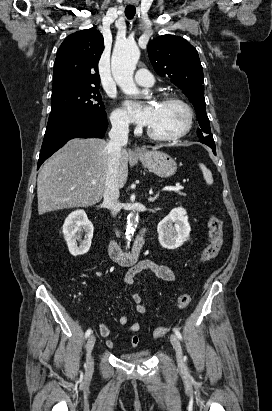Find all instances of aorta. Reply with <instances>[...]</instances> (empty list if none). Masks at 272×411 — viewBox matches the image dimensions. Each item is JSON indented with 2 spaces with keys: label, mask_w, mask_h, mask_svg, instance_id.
Listing matches in <instances>:
<instances>
[{
  "label": "aorta",
  "mask_w": 272,
  "mask_h": 411,
  "mask_svg": "<svg viewBox=\"0 0 272 411\" xmlns=\"http://www.w3.org/2000/svg\"><path fill=\"white\" fill-rule=\"evenodd\" d=\"M139 57L140 51L136 43L131 41H127L121 45L116 46L112 54V75L118 86L127 95L137 96L140 94L139 89L136 87L133 81V73ZM136 222V215L133 212L129 213L127 216V225L125 232V238L128 242L131 241V238L134 234Z\"/></svg>",
  "instance_id": "obj_1"
}]
</instances>
